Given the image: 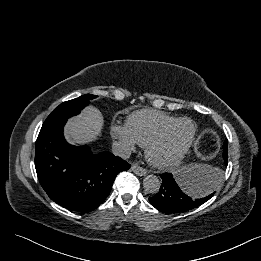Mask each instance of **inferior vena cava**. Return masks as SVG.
I'll return each mask as SVG.
<instances>
[{"mask_svg":"<svg viewBox=\"0 0 261 261\" xmlns=\"http://www.w3.org/2000/svg\"><path fill=\"white\" fill-rule=\"evenodd\" d=\"M112 153L123 159H127L131 155V150L126 144L119 141H114L112 144Z\"/></svg>","mask_w":261,"mask_h":261,"instance_id":"inferior-vena-cava-1","label":"inferior vena cava"}]
</instances>
